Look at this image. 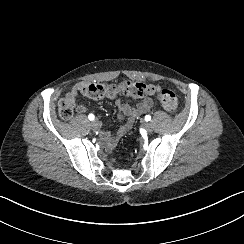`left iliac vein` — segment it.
I'll return each mask as SVG.
<instances>
[{"mask_svg":"<svg viewBox=\"0 0 244 244\" xmlns=\"http://www.w3.org/2000/svg\"><path fill=\"white\" fill-rule=\"evenodd\" d=\"M142 127L146 130V132L147 133H152V131H153V126H152V124L150 123V122H144L143 124H142Z\"/></svg>","mask_w":244,"mask_h":244,"instance_id":"obj_1","label":"left iliac vein"}]
</instances>
